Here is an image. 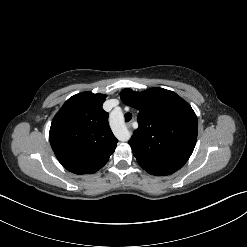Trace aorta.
Listing matches in <instances>:
<instances>
[{"label": "aorta", "mask_w": 247, "mask_h": 247, "mask_svg": "<svg viewBox=\"0 0 247 247\" xmlns=\"http://www.w3.org/2000/svg\"><path fill=\"white\" fill-rule=\"evenodd\" d=\"M115 114L119 117L121 122H123V115L119 111H115ZM130 138V132L127 130L126 127L122 126V136L120 137L121 140L126 141Z\"/></svg>", "instance_id": "762f6f07"}]
</instances>
